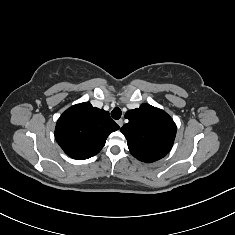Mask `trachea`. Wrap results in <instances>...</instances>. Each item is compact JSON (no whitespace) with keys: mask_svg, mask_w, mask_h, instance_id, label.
I'll list each match as a JSON object with an SVG mask.
<instances>
[{"mask_svg":"<svg viewBox=\"0 0 235 235\" xmlns=\"http://www.w3.org/2000/svg\"><path fill=\"white\" fill-rule=\"evenodd\" d=\"M121 114V110L118 107H115L111 112V116L115 120H118L121 117Z\"/></svg>","mask_w":235,"mask_h":235,"instance_id":"3493384b","label":"trachea"}]
</instances>
